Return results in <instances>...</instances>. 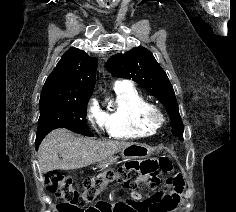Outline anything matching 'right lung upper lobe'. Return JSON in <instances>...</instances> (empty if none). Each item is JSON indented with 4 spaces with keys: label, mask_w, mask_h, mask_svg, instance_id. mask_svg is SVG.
<instances>
[{
    "label": "right lung upper lobe",
    "mask_w": 236,
    "mask_h": 212,
    "mask_svg": "<svg viewBox=\"0 0 236 212\" xmlns=\"http://www.w3.org/2000/svg\"><path fill=\"white\" fill-rule=\"evenodd\" d=\"M96 69V58L77 48L67 50L48 76L40 99L91 96Z\"/></svg>",
    "instance_id": "right-lung-upper-lobe-1"
}]
</instances>
